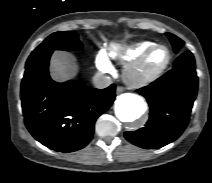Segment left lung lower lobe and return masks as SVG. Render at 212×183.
Returning a JSON list of instances; mask_svg holds the SVG:
<instances>
[{
  "label": "left lung lower lobe",
  "mask_w": 212,
  "mask_h": 183,
  "mask_svg": "<svg viewBox=\"0 0 212 183\" xmlns=\"http://www.w3.org/2000/svg\"><path fill=\"white\" fill-rule=\"evenodd\" d=\"M197 89L195 60L187 51L176 59L172 70L137 90L149 103L150 118L142 129L125 132V138L146 149L176 140L188 124Z\"/></svg>",
  "instance_id": "0a47b994"
}]
</instances>
